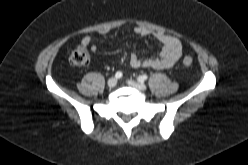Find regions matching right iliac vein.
<instances>
[{
    "label": "right iliac vein",
    "instance_id": "right-iliac-vein-1",
    "mask_svg": "<svg viewBox=\"0 0 248 165\" xmlns=\"http://www.w3.org/2000/svg\"><path fill=\"white\" fill-rule=\"evenodd\" d=\"M116 84H117V79L115 77H111L107 82L109 88H114Z\"/></svg>",
    "mask_w": 248,
    "mask_h": 165
}]
</instances>
